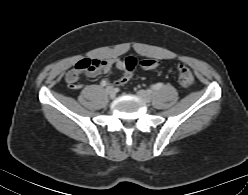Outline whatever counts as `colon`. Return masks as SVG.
Returning a JSON list of instances; mask_svg holds the SVG:
<instances>
[{
	"instance_id": "5ec220e1",
	"label": "colon",
	"mask_w": 248,
	"mask_h": 195,
	"mask_svg": "<svg viewBox=\"0 0 248 195\" xmlns=\"http://www.w3.org/2000/svg\"><path fill=\"white\" fill-rule=\"evenodd\" d=\"M92 60L79 61L66 75V82L69 86H74L82 77L90 70V63ZM125 73L121 79V83H127L133 74V71L137 65V61L134 57H127L123 60ZM140 65L145 70H152L160 65V62L156 59H144L140 62ZM178 82L184 87L188 88L194 83V76L191 69L185 64H179L177 67Z\"/></svg>"
}]
</instances>
